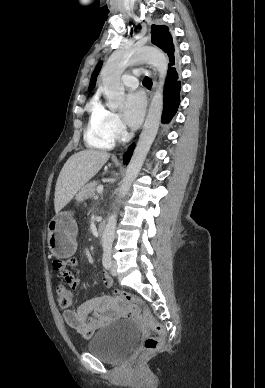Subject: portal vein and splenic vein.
<instances>
[{
    "mask_svg": "<svg viewBox=\"0 0 265 388\" xmlns=\"http://www.w3.org/2000/svg\"><path fill=\"white\" fill-rule=\"evenodd\" d=\"M102 192H103V186H98L97 194H102Z\"/></svg>",
    "mask_w": 265,
    "mask_h": 388,
    "instance_id": "obj_1",
    "label": "portal vein and splenic vein"
}]
</instances>
